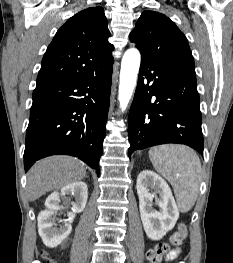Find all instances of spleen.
<instances>
[{
    "mask_svg": "<svg viewBox=\"0 0 233 263\" xmlns=\"http://www.w3.org/2000/svg\"><path fill=\"white\" fill-rule=\"evenodd\" d=\"M154 169L173 187L177 206L183 213L194 206L201 181V162L191 148L179 145H161L149 150Z\"/></svg>",
    "mask_w": 233,
    "mask_h": 263,
    "instance_id": "spleen-1",
    "label": "spleen"
}]
</instances>
